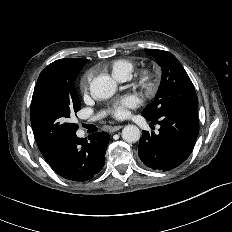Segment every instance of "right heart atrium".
Wrapping results in <instances>:
<instances>
[{
  "instance_id": "d8ad5b80",
  "label": "right heart atrium",
  "mask_w": 232,
  "mask_h": 232,
  "mask_svg": "<svg viewBox=\"0 0 232 232\" xmlns=\"http://www.w3.org/2000/svg\"><path fill=\"white\" fill-rule=\"evenodd\" d=\"M91 80H92V73L89 72L85 74L83 78L81 79V88L83 90H87Z\"/></svg>"
}]
</instances>
